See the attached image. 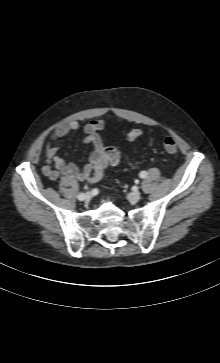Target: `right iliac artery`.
I'll return each instance as SVG.
<instances>
[{
	"label": "right iliac artery",
	"instance_id": "1",
	"mask_svg": "<svg viewBox=\"0 0 220 363\" xmlns=\"http://www.w3.org/2000/svg\"><path fill=\"white\" fill-rule=\"evenodd\" d=\"M84 197H85V194H84V193H80V194L78 195V199H79L80 201H82V200L84 199Z\"/></svg>",
	"mask_w": 220,
	"mask_h": 363
}]
</instances>
